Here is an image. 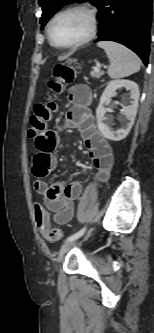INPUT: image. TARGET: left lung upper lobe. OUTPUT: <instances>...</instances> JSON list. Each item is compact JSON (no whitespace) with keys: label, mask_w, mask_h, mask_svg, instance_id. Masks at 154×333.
Masks as SVG:
<instances>
[{"label":"left lung upper lobe","mask_w":154,"mask_h":333,"mask_svg":"<svg viewBox=\"0 0 154 333\" xmlns=\"http://www.w3.org/2000/svg\"><path fill=\"white\" fill-rule=\"evenodd\" d=\"M88 1L94 6H98L102 0H39V5L42 8V17L40 24L44 26L47 21L64 5L73 2H85Z\"/></svg>","instance_id":"left-lung-upper-lobe-1"}]
</instances>
